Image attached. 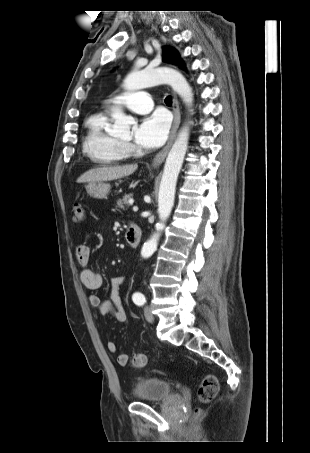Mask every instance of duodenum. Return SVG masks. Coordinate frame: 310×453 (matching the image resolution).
<instances>
[{"label":"duodenum","mask_w":310,"mask_h":453,"mask_svg":"<svg viewBox=\"0 0 310 453\" xmlns=\"http://www.w3.org/2000/svg\"><path fill=\"white\" fill-rule=\"evenodd\" d=\"M141 237L142 231L138 226L132 225L128 228L126 233V239L130 247L132 248L137 247L140 243Z\"/></svg>","instance_id":"obj_1"}]
</instances>
